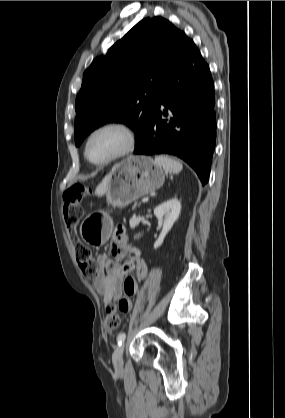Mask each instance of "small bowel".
Here are the masks:
<instances>
[{
  "mask_svg": "<svg viewBox=\"0 0 285 418\" xmlns=\"http://www.w3.org/2000/svg\"><path fill=\"white\" fill-rule=\"evenodd\" d=\"M110 250L117 259L128 255L130 262L121 265L106 253L98 255V274L92 279V284L105 305L117 302L121 311L129 312L132 309L131 297L138 291L137 280L147 277L148 267L140 251L128 244L124 232L115 236Z\"/></svg>",
  "mask_w": 285,
  "mask_h": 418,
  "instance_id": "small-bowel-1",
  "label": "small bowel"
}]
</instances>
